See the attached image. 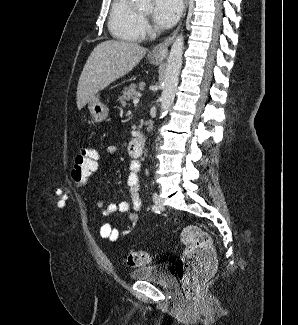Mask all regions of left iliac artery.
<instances>
[{"label": "left iliac artery", "instance_id": "44dca946", "mask_svg": "<svg viewBox=\"0 0 298 325\" xmlns=\"http://www.w3.org/2000/svg\"><path fill=\"white\" fill-rule=\"evenodd\" d=\"M152 211H154V212H158L159 211L156 205H152Z\"/></svg>", "mask_w": 298, "mask_h": 325}]
</instances>
